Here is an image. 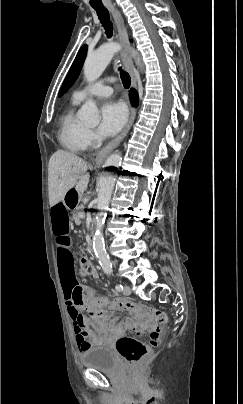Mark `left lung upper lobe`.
<instances>
[{
	"label": "left lung upper lobe",
	"mask_w": 243,
	"mask_h": 404,
	"mask_svg": "<svg viewBox=\"0 0 243 404\" xmlns=\"http://www.w3.org/2000/svg\"><path fill=\"white\" fill-rule=\"evenodd\" d=\"M86 54H87V45H83L80 48L79 52L77 53V56L60 88L59 96H62L65 92H67V90L72 86V84L77 79L81 67L83 65V62L85 60Z\"/></svg>",
	"instance_id": "left-lung-upper-lobe-1"
}]
</instances>
